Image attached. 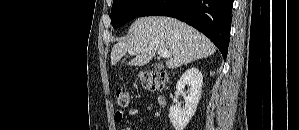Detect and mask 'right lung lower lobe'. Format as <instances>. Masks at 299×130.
Segmentation results:
<instances>
[{"mask_svg": "<svg viewBox=\"0 0 299 130\" xmlns=\"http://www.w3.org/2000/svg\"><path fill=\"white\" fill-rule=\"evenodd\" d=\"M233 0H153L138 15L177 18L206 35L227 57Z\"/></svg>", "mask_w": 299, "mask_h": 130, "instance_id": "obj_1", "label": "right lung lower lobe"}]
</instances>
